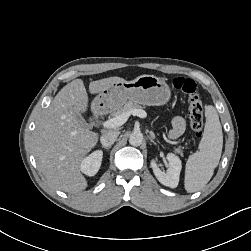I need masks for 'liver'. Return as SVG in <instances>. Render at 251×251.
I'll return each instance as SVG.
<instances>
[{"mask_svg":"<svg viewBox=\"0 0 251 251\" xmlns=\"http://www.w3.org/2000/svg\"><path fill=\"white\" fill-rule=\"evenodd\" d=\"M122 81L125 80L120 77L92 81L89 91L96 94ZM88 103L84 82L73 80L54 97L37 122L33 135V154L40 171L53 187L68 193L86 189L87 181L80 164L99 138L98 133L85 128L72 112H86Z\"/></svg>","mask_w":251,"mask_h":251,"instance_id":"6515ba94","label":"liver"}]
</instances>
